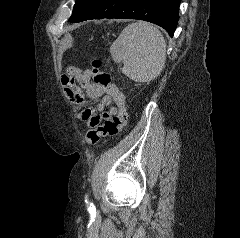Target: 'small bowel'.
<instances>
[{
	"instance_id": "c3829d8e",
	"label": "small bowel",
	"mask_w": 240,
	"mask_h": 238,
	"mask_svg": "<svg viewBox=\"0 0 240 238\" xmlns=\"http://www.w3.org/2000/svg\"><path fill=\"white\" fill-rule=\"evenodd\" d=\"M91 76L89 70L74 66H69L62 76L67 97L73 103L84 107V110L78 113V118L85 121L90 128L119 112V107L113 104V98L102 86L92 83Z\"/></svg>"
}]
</instances>
